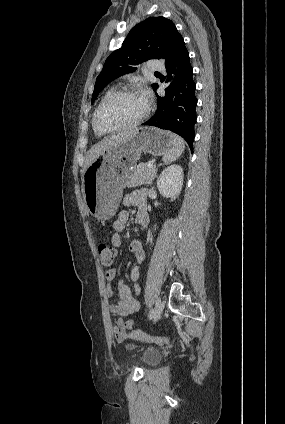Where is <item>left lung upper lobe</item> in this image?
<instances>
[{"label": "left lung upper lobe", "mask_w": 285, "mask_h": 424, "mask_svg": "<svg viewBox=\"0 0 285 424\" xmlns=\"http://www.w3.org/2000/svg\"><path fill=\"white\" fill-rule=\"evenodd\" d=\"M180 37L174 23L164 17H150L134 26L121 48L106 59L96 79L92 102L108 83L125 73L135 71V65L148 59L167 60ZM157 86L152 85L153 89Z\"/></svg>", "instance_id": "left-lung-upper-lobe-1"}]
</instances>
